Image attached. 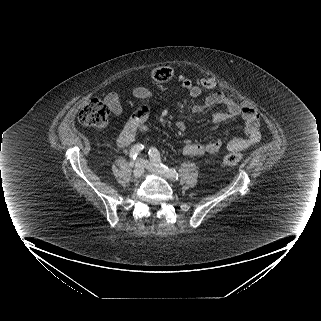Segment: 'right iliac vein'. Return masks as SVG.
I'll return each instance as SVG.
<instances>
[{"label": "right iliac vein", "mask_w": 321, "mask_h": 321, "mask_svg": "<svg viewBox=\"0 0 321 321\" xmlns=\"http://www.w3.org/2000/svg\"><path fill=\"white\" fill-rule=\"evenodd\" d=\"M144 173V167L141 162H137L135 164L133 175L135 178H140Z\"/></svg>", "instance_id": "1"}]
</instances>
